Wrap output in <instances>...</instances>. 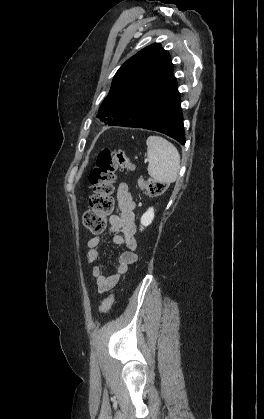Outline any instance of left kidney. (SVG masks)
Here are the masks:
<instances>
[{"mask_svg":"<svg viewBox=\"0 0 264 419\" xmlns=\"http://www.w3.org/2000/svg\"><path fill=\"white\" fill-rule=\"evenodd\" d=\"M154 219V209L153 208H149L141 217V229L143 230L144 226H148L152 223Z\"/></svg>","mask_w":264,"mask_h":419,"instance_id":"left-kidney-1","label":"left kidney"}]
</instances>
